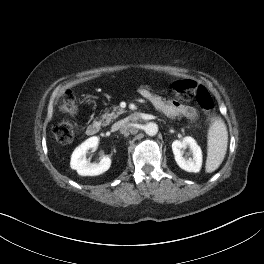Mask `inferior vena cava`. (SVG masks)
I'll return each mask as SVG.
<instances>
[{
	"mask_svg": "<svg viewBox=\"0 0 264 264\" xmlns=\"http://www.w3.org/2000/svg\"><path fill=\"white\" fill-rule=\"evenodd\" d=\"M125 122H126V121H120V122L115 123V124L112 126V131H117V130L121 129L122 125H123Z\"/></svg>",
	"mask_w": 264,
	"mask_h": 264,
	"instance_id": "obj_1",
	"label": "inferior vena cava"
}]
</instances>
